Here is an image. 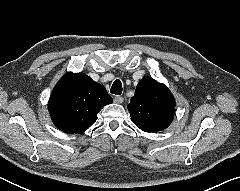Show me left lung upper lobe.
I'll return each instance as SVG.
<instances>
[{
  "instance_id": "obj_1",
  "label": "left lung upper lobe",
  "mask_w": 240,
  "mask_h": 191,
  "mask_svg": "<svg viewBox=\"0 0 240 191\" xmlns=\"http://www.w3.org/2000/svg\"><path fill=\"white\" fill-rule=\"evenodd\" d=\"M175 100L170 90L150 77L142 78L127 106L132 122L145 132H158L172 122Z\"/></svg>"
}]
</instances>
